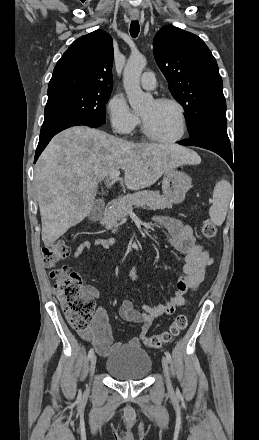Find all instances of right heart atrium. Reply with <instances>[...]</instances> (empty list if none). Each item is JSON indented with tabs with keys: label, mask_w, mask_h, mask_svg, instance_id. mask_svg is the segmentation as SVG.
<instances>
[{
	"label": "right heart atrium",
	"mask_w": 259,
	"mask_h": 440,
	"mask_svg": "<svg viewBox=\"0 0 259 440\" xmlns=\"http://www.w3.org/2000/svg\"><path fill=\"white\" fill-rule=\"evenodd\" d=\"M106 113L112 130L120 135L132 133L140 123L123 95H113L106 104Z\"/></svg>",
	"instance_id": "1"
}]
</instances>
